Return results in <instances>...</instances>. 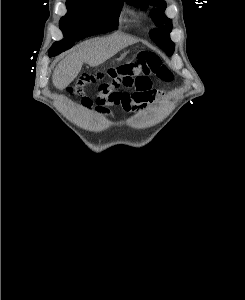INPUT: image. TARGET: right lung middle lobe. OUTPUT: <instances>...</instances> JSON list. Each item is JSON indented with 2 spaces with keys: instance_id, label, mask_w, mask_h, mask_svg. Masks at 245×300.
Instances as JSON below:
<instances>
[{
  "instance_id": "right-lung-middle-lobe-1",
  "label": "right lung middle lobe",
  "mask_w": 245,
  "mask_h": 300,
  "mask_svg": "<svg viewBox=\"0 0 245 300\" xmlns=\"http://www.w3.org/2000/svg\"><path fill=\"white\" fill-rule=\"evenodd\" d=\"M123 2L121 0H67L68 13L61 18L59 24L64 39L55 42L49 49V54L55 56L71 48L75 41L85 38V32L78 26V22L82 20L99 21L103 33L117 29Z\"/></svg>"
}]
</instances>
